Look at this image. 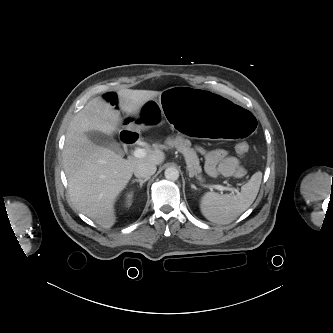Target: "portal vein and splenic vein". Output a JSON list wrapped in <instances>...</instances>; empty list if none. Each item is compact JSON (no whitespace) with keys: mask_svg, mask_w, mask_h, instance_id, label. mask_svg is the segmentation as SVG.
Instances as JSON below:
<instances>
[{"mask_svg":"<svg viewBox=\"0 0 333 333\" xmlns=\"http://www.w3.org/2000/svg\"><path fill=\"white\" fill-rule=\"evenodd\" d=\"M133 155L136 158H144L147 155V152L145 149L138 148L133 152ZM209 187H213L219 191H231L232 193L238 192V190L235 188H230V187H226V186H222V185H210Z\"/></svg>","mask_w":333,"mask_h":333,"instance_id":"obj_1","label":"portal vein and splenic vein"}]
</instances>
